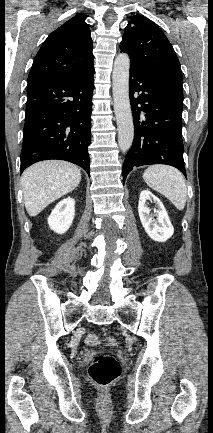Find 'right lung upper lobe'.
<instances>
[{"label": "right lung upper lobe", "instance_id": "obj_1", "mask_svg": "<svg viewBox=\"0 0 213 433\" xmlns=\"http://www.w3.org/2000/svg\"><path fill=\"white\" fill-rule=\"evenodd\" d=\"M86 16L77 14L53 31L39 49L28 81L63 80L94 65Z\"/></svg>", "mask_w": 213, "mask_h": 433}]
</instances>
